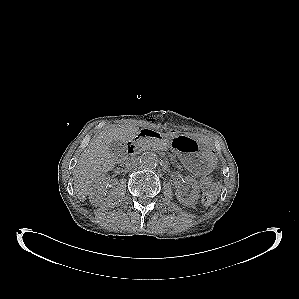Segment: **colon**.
<instances>
[{
    "label": "colon",
    "mask_w": 299,
    "mask_h": 299,
    "mask_svg": "<svg viewBox=\"0 0 299 299\" xmlns=\"http://www.w3.org/2000/svg\"><path fill=\"white\" fill-rule=\"evenodd\" d=\"M200 185L206 189L202 196V203L204 205H210L214 202L217 192V187L212 185V180L208 176H204L200 180Z\"/></svg>",
    "instance_id": "colon-1"
}]
</instances>
